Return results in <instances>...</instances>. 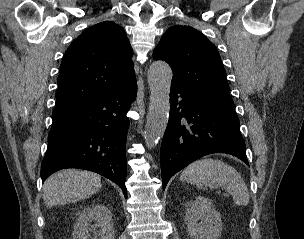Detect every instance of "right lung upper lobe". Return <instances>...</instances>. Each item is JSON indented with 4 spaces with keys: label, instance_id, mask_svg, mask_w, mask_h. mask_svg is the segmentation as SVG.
I'll use <instances>...</instances> for the list:
<instances>
[{
    "label": "right lung upper lobe",
    "instance_id": "right-lung-upper-lobe-1",
    "mask_svg": "<svg viewBox=\"0 0 304 239\" xmlns=\"http://www.w3.org/2000/svg\"><path fill=\"white\" fill-rule=\"evenodd\" d=\"M131 56L125 31L114 22L85 30L61 62L53 114L83 105L135 78Z\"/></svg>",
    "mask_w": 304,
    "mask_h": 239
}]
</instances>
